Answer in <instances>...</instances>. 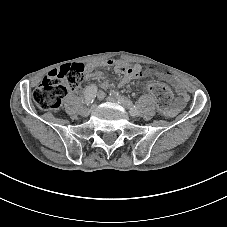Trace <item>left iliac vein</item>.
Here are the masks:
<instances>
[{
    "label": "left iliac vein",
    "mask_w": 227,
    "mask_h": 227,
    "mask_svg": "<svg viewBox=\"0 0 227 227\" xmlns=\"http://www.w3.org/2000/svg\"><path fill=\"white\" fill-rule=\"evenodd\" d=\"M106 100H107L108 102H111V103H116V102H118V103H120L121 106L126 107L124 103H122L121 101H119V100H117V99H115V98H113V97H108Z\"/></svg>",
    "instance_id": "4c4485c4"
}]
</instances>
